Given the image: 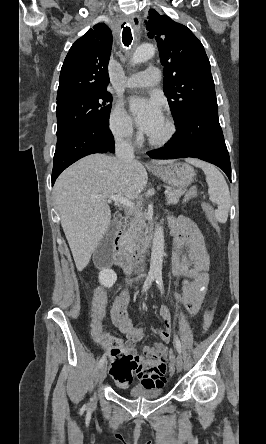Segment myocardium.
I'll list each match as a JSON object with an SVG mask.
<instances>
[{"label": "myocardium", "instance_id": "1", "mask_svg": "<svg viewBox=\"0 0 266 444\" xmlns=\"http://www.w3.org/2000/svg\"><path fill=\"white\" fill-rule=\"evenodd\" d=\"M165 121L167 124V132L162 138L155 139V138H152L151 136L148 135V143L151 146L163 147V146L167 145L174 137V135L176 133V126H175L174 121L170 117L165 118Z\"/></svg>", "mask_w": 266, "mask_h": 444}]
</instances>
